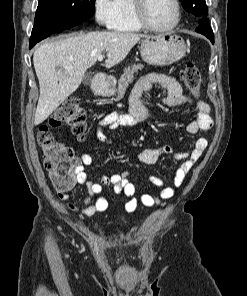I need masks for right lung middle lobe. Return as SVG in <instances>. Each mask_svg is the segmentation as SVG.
<instances>
[{
	"mask_svg": "<svg viewBox=\"0 0 247 296\" xmlns=\"http://www.w3.org/2000/svg\"><path fill=\"white\" fill-rule=\"evenodd\" d=\"M95 0H39L32 41H40L50 33L62 32L91 18Z\"/></svg>",
	"mask_w": 247,
	"mask_h": 296,
	"instance_id": "dd1d6c3e",
	"label": "right lung middle lobe"
}]
</instances>
